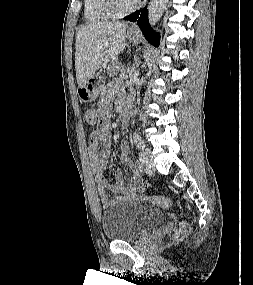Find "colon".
Listing matches in <instances>:
<instances>
[{"label":"colon","mask_w":253,"mask_h":285,"mask_svg":"<svg viewBox=\"0 0 253 285\" xmlns=\"http://www.w3.org/2000/svg\"><path fill=\"white\" fill-rule=\"evenodd\" d=\"M85 119L87 123L90 125L96 124L98 122L96 110L89 109L85 111ZM142 200L148 204L162 208H168L171 206V200L165 196L148 195L142 197ZM189 232H190V226L187 223H182L175 232L173 238L180 239L186 237L189 234Z\"/></svg>","instance_id":"colon-1"}]
</instances>
